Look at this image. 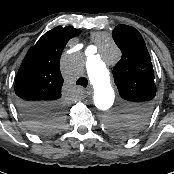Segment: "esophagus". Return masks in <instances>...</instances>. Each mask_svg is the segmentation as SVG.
Returning a JSON list of instances; mask_svg holds the SVG:
<instances>
[{
  "mask_svg": "<svg viewBox=\"0 0 174 174\" xmlns=\"http://www.w3.org/2000/svg\"><path fill=\"white\" fill-rule=\"evenodd\" d=\"M91 93H92L91 89H87V90L85 91V96L87 97V96H89Z\"/></svg>",
  "mask_w": 174,
  "mask_h": 174,
  "instance_id": "obj_1",
  "label": "esophagus"
}]
</instances>
